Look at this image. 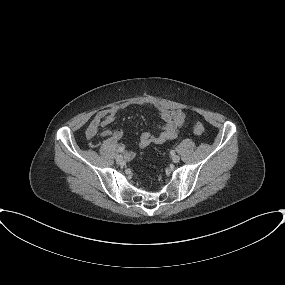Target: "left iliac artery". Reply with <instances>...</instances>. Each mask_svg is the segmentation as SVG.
<instances>
[{"instance_id": "1", "label": "left iliac artery", "mask_w": 285, "mask_h": 285, "mask_svg": "<svg viewBox=\"0 0 285 285\" xmlns=\"http://www.w3.org/2000/svg\"><path fill=\"white\" fill-rule=\"evenodd\" d=\"M172 155H174L175 154V150H171V152H170Z\"/></svg>"}]
</instances>
